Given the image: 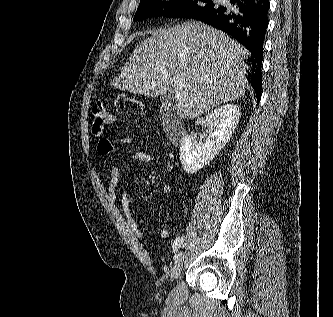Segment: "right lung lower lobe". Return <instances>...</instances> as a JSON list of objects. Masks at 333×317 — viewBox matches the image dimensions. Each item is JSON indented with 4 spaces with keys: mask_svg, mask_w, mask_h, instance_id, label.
I'll return each instance as SVG.
<instances>
[{
    "mask_svg": "<svg viewBox=\"0 0 333 317\" xmlns=\"http://www.w3.org/2000/svg\"><path fill=\"white\" fill-rule=\"evenodd\" d=\"M233 9L213 6L193 18L220 29L245 46L253 55L254 69L248 75L257 102L262 88L263 43L268 26L269 0H229Z\"/></svg>",
    "mask_w": 333,
    "mask_h": 317,
    "instance_id": "1",
    "label": "right lung lower lobe"
}]
</instances>
